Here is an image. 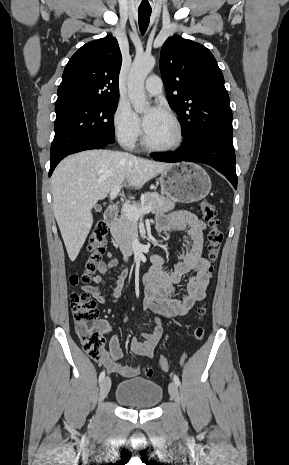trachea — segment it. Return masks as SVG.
Wrapping results in <instances>:
<instances>
[{
    "label": "trachea",
    "instance_id": "trachea-1",
    "mask_svg": "<svg viewBox=\"0 0 289 465\" xmlns=\"http://www.w3.org/2000/svg\"><path fill=\"white\" fill-rule=\"evenodd\" d=\"M151 12L152 10H147V9L138 10L139 29L142 34H144L148 28Z\"/></svg>",
    "mask_w": 289,
    "mask_h": 465
}]
</instances>
